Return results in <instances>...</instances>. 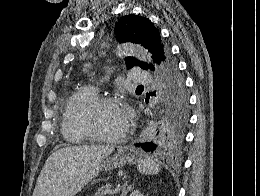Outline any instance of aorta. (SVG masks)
<instances>
[{
	"label": "aorta",
	"mask_w": 260,
	"mask_h": 196,
	"mask_svg": "<svg viewBox=\"0 0 260 196\" xmlns=\"http://www.w3.org/2000/svg\"><path fill=\"white\" fill-rule=\"evenodd\" d=\"M117 53L119 56H135L148 64L152 63L151 54L139 45L131 43L122 44L117 48Z\"/></svg>",
	"instance_id": "obj_1"
}]
</instances>
